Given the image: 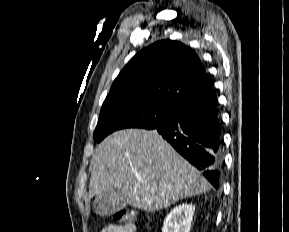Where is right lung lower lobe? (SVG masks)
Listing matches in <instances>:
<instances>
[{
    "label": "right lung lower lobe",
    "instance_id": "obj_1",
    "mask_svg": "<svg viewBox=\"0 0 289 232\" xmlns=\"http://www.w3.org/2000/svg\"><path fill=\"white\" fill-rule=\"evenodd\" d=\"M217 98L179 108L171 121L154 128L215 187L223 166L221 121Z\"/></svg>",
    "mask_w": 289,
    "mask_h": 232
}]
</instances>
